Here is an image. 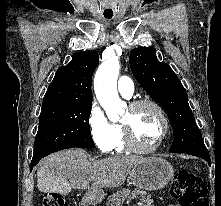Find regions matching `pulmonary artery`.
<instances>
[{
	"label": "pulmonary artery",
	"mask_w": 221,
	"mask_h": 206,
	"mask_svg": "<svg viewBox=\"0 0 221 206\" xmlns=\"http://www.w3.org/2000/svg\"><path fill=\"white\" fill-rule=\"evenodd\" d=\"M118 92L125 98H131L134 92L133 81L127 76L120 77L118 81Z\"/></svg>",
	"instance_id": "obj_1"
}]
</instances>
